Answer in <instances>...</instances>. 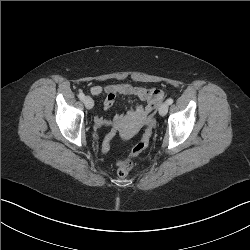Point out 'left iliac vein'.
<instances>
[{"label":"left iliac vein","instance_id":"4c4485c4","mask_svg":"<svg viewBox=\"0 0 250 250\" xmlns=\"http://www.w3.org/2000/svg\"><path fill=\"white\" fill-rule=\"evenodd\" d=\"M168 103L167 102H164V103H162L161 105H160V107H159V114L161 115V116H165L166 114H167V112H168Z\"/></svg>","mask_w":250,"mask_h":250}]
</instances>
